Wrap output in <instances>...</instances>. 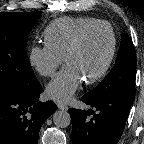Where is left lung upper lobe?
Segmentation results:
<instances>
[{"mask_svg":"<svg viewBox=\"0 0 144 144\" xmlns=\"http://www.w3.org/2000/svg\"><path fill=\"white\" fill-rule=\"evenodd\" d=\"M136 53L132 40L121 34V45L114 68L93 90L85 94L98 97L106 94H118L135 97Z\"/></svg>","mask_w":144,"mask_h":144,"instance_id":"1","label":"left lung upper lobe"}]
</instances>
